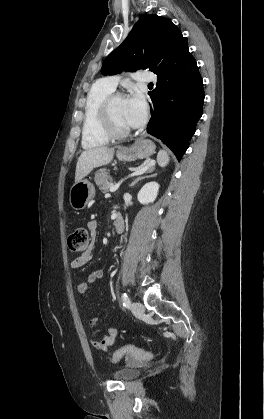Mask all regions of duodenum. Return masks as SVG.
<instances>
[{
	"label": "duodenum",
	"instance_id": "1",
	"mask_svg": "<svg viewBox=\"0 0 264 419\" xmlns=\"http://www.w3.org/2000/svg\"><path fill=\"white\" fill-rule=\"evenodd\" d=\"M114 230L117 233H120L123 231L124 223L123 219L120 215H117L113 221Z\"/></svg>",
	"mask_w": 264,
	"mask_h": 419
}]
</instances>
